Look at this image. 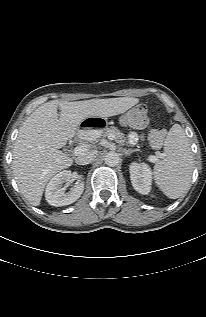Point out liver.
<instances>
[{
  "instance_id": "6515ba94",
  "label": "liver",
  "mask_w": 206,
  "mask_h": 317,
  "mask_svg": "<svg viewBox=\"0 0 206 317\" xmlns=\"http://www.w3.org/2000/svg\"><path fill=\"white\" fill-rule=\"evenodd\" d=\"M138 102L133 97L53 100L38 107L20 127L13 149V174L27 201L39 206L50 178L73 164V159L59 149L76 135L84 119L115 116Z\"/></svg>"
}]
</instances>
